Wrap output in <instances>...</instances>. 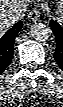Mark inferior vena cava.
<instances>
[{"label": "inferior vena cava", "instance_id": "obj_1", "mask_svg": "<svg viewBox=\"0 0 63 107\" xmlns=\"http://www.w3.org/2000/svg\"><path fill=\"white\" fill-rule=\"evenodd\" d=\"M23 16V10L20 8H15L9 13V21L15 23Z\"/></svg>", "mask_w": 63, "mask_h": 107}]
</instances>
